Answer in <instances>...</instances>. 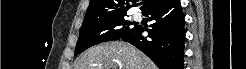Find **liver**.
Listing matches in <instances>:
<instances>
[{
  "label": "liver",
  "mask_w": 246,
  "mask_h": 69,
  "mask_svg": "<svg viewBox=\"0 0 246 69\" xmlns=\"http://www.w3.org/2000/svg\"><path fill=\"white\" fill-rule=\"evenodd\" d=\"M75 67V69H157L141 51L119 41L89 48Z\"/></svg>",
  "instance_id": "6515ba94"
}]
</instances>
